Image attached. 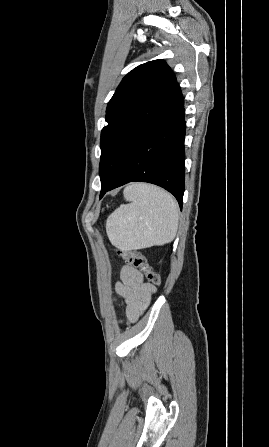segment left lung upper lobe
I'll return each mask as SVG.
<instances>
[{
  "label": "left lung upper lobe",
  "mask_w": 269,
  "mask_h": 447,
  "mask_svg": "<svg viewBox=\"0 0 269 447\" xmlns=\"http://www.w3.org/2000/svg\"><path fill=\"white\" fill-rule=\"evenodd\" d=\"M177 85L163 60L139 65L123 78L108 103V125L101 132L102 186L115 179L146 132L166 113Z\"/></svg>",
  "instance_id": "5c2ea615"
}]
</instances>
